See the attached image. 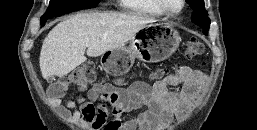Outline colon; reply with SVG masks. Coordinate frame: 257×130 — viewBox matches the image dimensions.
I'll return each mask as SVG.
<instances>
[{
	"instance_id": "5ec220e1",
	"label": "colon",
	"mask_w": 257,
	"mask_h": 130,
	"mask_svg": "<svg viewBox=\"0 0 257 130\" xmlns=\"http://www.w3.org/2000/svg\"><path fill=\"white\" fill-rule=\"evenodd\" d=\"M204 50V44L196 38H192L187 44L188 57L200 56L204 53ZM162 74L161 71H158L155 73V77L160 78ZM96 77L94 64L91 62L85 63L53 83L49 89V95L54 98L63 97L68 89L72 87L85 88L88 84L95 81Z\"/></svg>"
}]
</instances>
